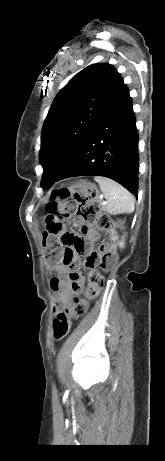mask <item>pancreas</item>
I'll list each match as a JSON object with an SVG mask.
<instances>
[{
  "label": "pancreas",
  "mask_w": 165,
  "mask_h": 461,
  "mask_svg": "<svg viewBox=\"0 0 165 461\" xmlns=\"http://www.w3.org/2000/svg\"><path fill=\"white\" fill-rule=\"evenodd\" d=\"M99 207H100V209H102V210L104 209V207H103V206H99Z\"/></svg>",
  "instance_id": "cf45deb5"
}]
</instances>
